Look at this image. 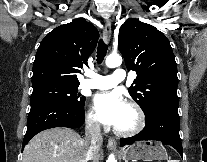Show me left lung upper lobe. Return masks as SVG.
I'll list each match as a JSON object with an SVG mask.
<instances>
[{
    "label": "left lung upper lobe",
    "instance_id": "obj_1",
    "mask_svg": "<svg viewBox=\"0 0 207 162\" xmlns=\"http://www.w3.org/2000/svg\"><path fill=\"white\" fill-rule=\"evenodd\" d=\"M118 48L137 77L129 93L145 116L158 103H178L177 66L169 40L154 26L129 18L119 29Z\"/></svg>",
    "mask_w": 207,
    "mask_h": 162
}]
</instances>
